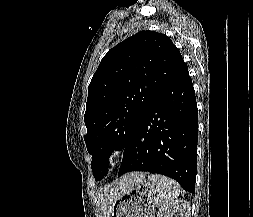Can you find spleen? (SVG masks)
I'll use <instances>...</instances> for the list:
<instances>
[{
    "instance_id": "obj_1",
    "label": "spleen",
    "mask_w": 253,
    "mask_h": 217,
    "mask_svg": "<svg viewBox=\"0 0 253 217\" xmlns=\"http://www.w3.org/2000/svg\"><path fill=\"white\" fill-rule=\"evenodd\" d=\"M148 180L156 187V203L160 210L172 204L180 194L178 183L168 177L151 174L148 176Z\"/></svg>"
}]
</instances>
